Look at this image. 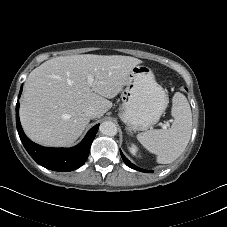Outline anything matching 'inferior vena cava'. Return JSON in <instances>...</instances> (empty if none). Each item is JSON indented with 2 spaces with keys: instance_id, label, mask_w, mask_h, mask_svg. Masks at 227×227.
I'll list each match as a JSON object with an SVG mask.
<instances>
[{
  "instance_id": "inferior-vena-cava-1",
  "label": "inferior vena cava",
  "mask_w": 227,
  "mask_h": 227,
  "mask_svg": "<svg viewBox=\"0 0 227 227\" xmlns=\"http://www.w3.org/2000/svg\"><path fill=\"white\" fill-rule=\"evenodd\" d=\"M85 114L87 117H89L91 119L98 117V111L94 107H88L85 110Z\"/></svg>"
}]
</instances>
